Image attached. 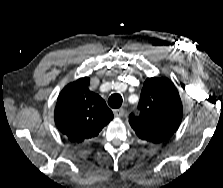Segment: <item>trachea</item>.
I'll use <instances>...</instances> for the list:
<instances>
[{
	"mask_svg": "<svg viewBox=\"0 0 223 188\" xmlns=\"http://www.w3.org/2000/svg\"><path fill=\"white\" fill-rule=\"evenodd\" d=\"M123 99L120 94H112L108 99V104L111 108L117 109L122 105Z\"/></svg>",
	"mask_w": 223,
	"mask_h": 188,
	"instance_id": "trachea-1",
	"label": "trachea"
}]
</instances>
